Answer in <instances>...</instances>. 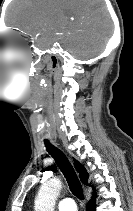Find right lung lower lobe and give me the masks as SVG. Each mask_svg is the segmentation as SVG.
<instances>
[{
  "instance_id": "right-lung-lower-lobe-1",
  "label": "right lung lower lobe",
  "mask_w": 133,
  "mask_h": 211,
  "mask_svg": "<svg viewBox=\"0 0 133 211\" xmlns=\"http://www.w3.org/2000/svg\"><path fill=\"white\" fill-rule=\"evenodd\" d=\"M87 211H95V198L93 197L87 206Z\"/></svg>"
}]
</instances>
